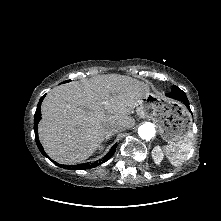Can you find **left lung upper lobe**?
I'll return each instance as SVG.
<instances>
[{"label":"left lung upper lobe","instance_id":"1","mask_svg":"<svg viewBox=\"0 0 221 221\" xmlns=\"http://www.w3.org/2000/svg\"><path fill=\"white\" fill-rule=\"evenodd\" d=\"M178 87L177 86H173V88L172 89H177Z\"/></svg>","mask_w":221,"mask_h":221}]
</instances>
